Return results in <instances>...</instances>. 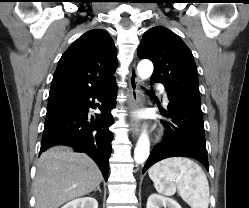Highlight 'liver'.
Wrapping results in <instances>:
<instances>
[{"label": "liver", "mask_w": 249, "mask_h": 208, "mask_svg": "<svg viewBox=\"0 0 249 208\" xmlns=\"http://www.w3.org/2000/svg\"><path fill=\"white\" fill-rule=\"evenodd\" d=\"M103 179L96 163L68 146L43 152L37 163L34 186L35 208H58L94 191Z\"/></svg>", "instance_id": "liver-1"}]
</instances>
